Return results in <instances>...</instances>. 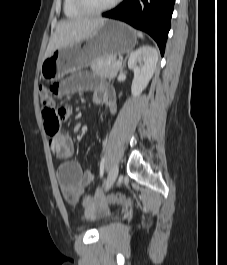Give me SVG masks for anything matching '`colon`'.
Wrapping results in <instances>:
<instances>
[{
    "label": "colon",
    "mask_w": 227,
    "mask_h": 265,
    "mask_svg": "<svg viewBox=\"0 0 227 265\" xmlns=\"http://www.w3.org/2000/svg\"><path fill=\"white\" fill-rule=\"evenodd\" d=\"M59 86L45 87L41 86L39 89L41 101L44 105L43 108V119L45 130L48 135L52 136L59 132L61 121L66 119L68 112H60V106L57 107L55 103V97L58 94ZM98 202L96 195L87 196L83 199V206L89 210ZM106 203L131 205V200L122 194H113L105 199Z\"/></svg>",
    "instance_id": "obj_1"
}]
</instances>
